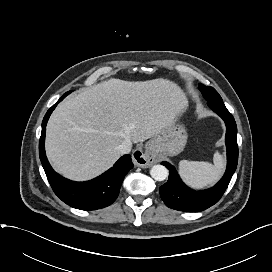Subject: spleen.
Instances as JSON below:
<instances>
[{
	"instance_id": "spleen-1",
	"label": "spleen",
	"mask_w": 272,
	"mask_h": 272,
	"mask_svg": "<svg viewBox=\"0 0 272 272\" xmlns=\"http://www.w3.org/2000/svg\"><path fill=\"white\" fill-rule=\"evenodd\" d=\"M213 163L182 160L179 162V173L188 185L203 188L214 184L224 171L225 161L219 152L214 154Z\"/></svg>"
}]
</instances>
